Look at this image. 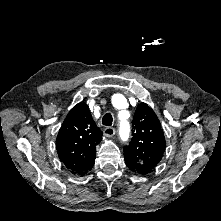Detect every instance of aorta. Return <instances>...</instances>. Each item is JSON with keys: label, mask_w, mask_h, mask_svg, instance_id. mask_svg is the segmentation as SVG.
Instances as JSON below:
<instances>
[{"label": "aorta", "mask_w": 221, "mask_h": 221, "mask_svg": "<svg viewBox=\"0 0 221 221\" xmlns=\"http://www.w3.org/2000/svg\"><path fill=\"white\" fill-rule=\"evenodd\" d=\"M125 114H127L126 111L120 113L119 135L122 141H126L130 135V123L124 119Z\"/></svg>", "instance_id": "762f6f07"}]
</instances>
